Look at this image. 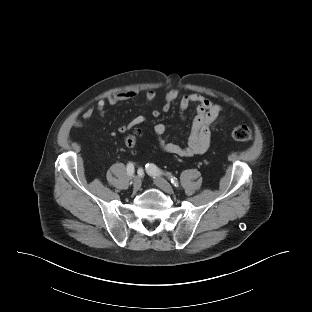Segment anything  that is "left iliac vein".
Returning <instances> with one entry per match:
<instances>
[{"label":"left iliac vein","mask_w":312,"mask_h":312,"mask_svg":"<svg viewBox=\"0 0 312 312\" xmlns=\"http://www.w3.org/2000/svg\"><path fill=\"white\" fill-rule=\"evenodd\" d=\"M154 183L156 186H158L161 190L168 194H173L174 190L172 186L162 177H155Z\"/></svg>","instance_id":"4c4485c4"}]
</instances>
